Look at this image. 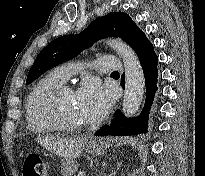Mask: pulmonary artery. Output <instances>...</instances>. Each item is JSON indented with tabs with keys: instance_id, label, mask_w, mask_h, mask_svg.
<instances>
[{
	"instance_id": "e3ab8cb5",
	"label": "pulmonary artery",
	"mask_w": 205,
	"mask_h": 176,
	"mask_svg": "<svg viewBox=\"0 0 205 176\" xmlns=\"http://www.w3.org/2000/svg\"><path fill=\"white\" fill-rule=\"evenodd\" d=\"M79 69L80 67L76 65L63 64L54 69V74L65 81ZM97 69L101 74H106L111 71H121L123 69V60L115 54L102 55L98 59Z\"/></svg>"
}]
</instances>
